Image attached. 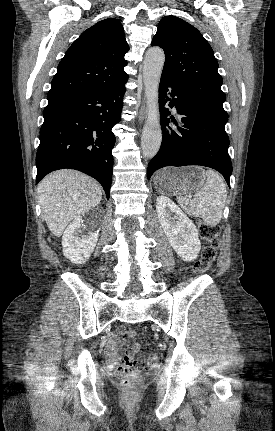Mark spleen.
<instances>
[{
  "label": "spleen",
  "mask_w": 275,
  "mask_h": 431,
  "mask_svg": "<svg viewBox=\"0 0 275 431\" xmlns=\"http://www.w3.org/2000/svg\"><path fill=\"white\" fill-rule=\"evenodd\" d=\"M205 184L196 191L194 199L178 196L181 208L190 216L201 217L208 226H216L222 218L227 191L223 179L213 170L203 171Z\"/></svg>",
  "instance_id": "spleen-1"
}]
</instances>
